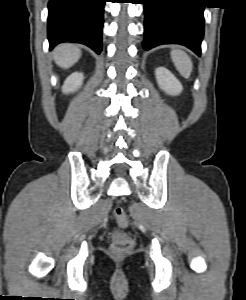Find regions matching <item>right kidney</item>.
<instances>
[{
	"label": "right kidney",
	"instance_id": "right-kidney-1",
	"mask_svg": "<svg viewBox=\"0 0 246 300\" xmlns=\"http://www.w3.org/2000/svg\"><path fill=\"white\" fill-rule=\"evenodd\" d=\"M83 79L84 77L82 73H72L65 80L62 92L65 94L75 92L82 85Z\"/></svg>",
	"mask_w": 246,
	"mask_h": 300
}]
</instances>
